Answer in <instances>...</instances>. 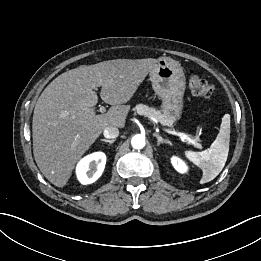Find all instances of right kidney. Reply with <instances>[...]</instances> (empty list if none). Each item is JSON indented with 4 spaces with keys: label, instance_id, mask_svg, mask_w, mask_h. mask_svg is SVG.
Instances as JSON below:
<instances>
[{
    "label": "right kidney",
    "instance_id": "ca27d5eb",
    "mask_svg": "<svg viewBox=\"0 0 261 261\" xmlns=\"http://www.w3.org/2000/svg\"><path fill=\"white\" fill-rule=\"evenodd\" d=\"M105 164L106 155L103 152H95L81 159L76 167L80 183L86 185L95 182L102 175Z\"/></svg>",
    "mask_w": 261,
    "mask_h": 261
}]
</instances>
